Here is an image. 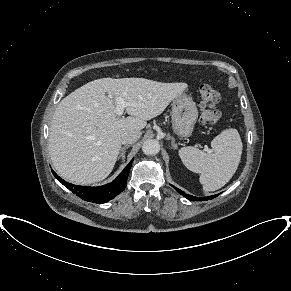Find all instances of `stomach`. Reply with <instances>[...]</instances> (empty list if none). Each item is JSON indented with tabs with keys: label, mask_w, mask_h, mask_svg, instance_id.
Returning <instances> with one entry per match:
<instances>
[{
	"label": "stomach",
	"mask_w": 291,
	"mask_h": 291,
	"mask_svg": "<svg viewBox=\"0 0 291 291\" xmlns=\"http://www.w3.org/2000/svg\"><path fill=\"white\" fill-rule=\"evenodd\" d=\"M172 129L179 137H189L196 120L198 110L192 98L186 94H180L172 102Z\"/></svg>",
	"instance_id": "stomach-1"
}]
</instances>
